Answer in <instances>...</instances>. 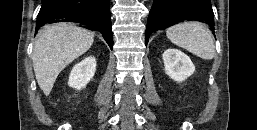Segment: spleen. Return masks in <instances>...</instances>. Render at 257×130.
<instances>
[{
    "mask_svg": "<svg viewBox=\"0 0 257 130\" xmlns=\"http://www.w3.org/2000/svg\"><path fill=\"white\" fill-rule=\"evenodd\" d=\"M167 38L175 45L184 48L204 59L211 60L215 45L207 28L199 22H185L166 30Z\"/></svg>",
    "mask_w": 257,
    "mask_h": 130,
    "instance_id": "3e777b00",
    "label": "spleen"
}]
</instances>
